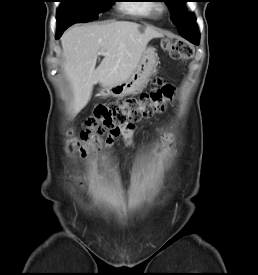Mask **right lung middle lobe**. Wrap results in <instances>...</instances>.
<instances>
[{
    "label": "right lung middle lobe",
    "mask_w": 258,
    "mask_h": 275,
    "mask_svg": "<svg viewBox=\"0 0 258 275\" xmlns=\"http://www.w3.org/2000/svg\"><path fill=\"white\" fill-rule=\"evenodd\" d=\"M113 0H61L57 12V23L89 22L111 7Z\"/></svg>",
    "instance_id": "1"
}]
</instances>
